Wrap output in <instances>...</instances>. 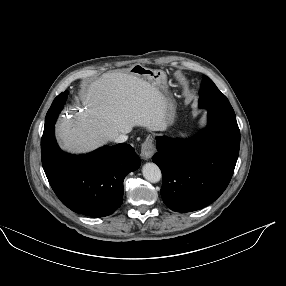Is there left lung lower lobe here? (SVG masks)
I'll list each match as a JSON object with an SVG mask.
<instances>
[{
    "mask_svg": "<svg viewBox=\"0 0 286 286\" xmlns=\"http://www.w3.org/2000/svg\"><path fill=\"white\" fill-rule=\"evenodd\" d=\"M205 130L189 140L157 137L152 160L161 169V196L176 212L199 210L215 201L234 172L240 147L236 116L207 109Z\"/></svg>",
    "mask_w": 286,
    "mask_h": 286,
    "instance_id": "left-lung-lower-lobe-1",
    "label": "left lung lower lobe"
}]
</instances>
